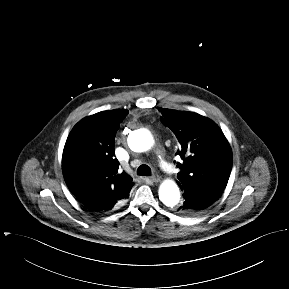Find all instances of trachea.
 <instances>
[{"instance_id":"trachea-1","label":"trachea","mask_w":289,"mask_h":289,"mask_svg":"<svg viewBox=\"0 0 289 289\" xmlns=\"http://www.w3.org/2000/svg\"><path fill=\"white\" fill-rule=\"evenodd\" d=\"M137 175L150 176L151 175V168L148 165L142 164L137 169Z\"/></svg>"}]
</instances>
